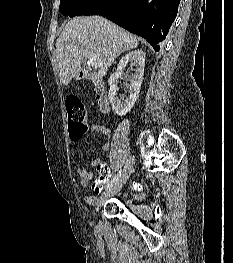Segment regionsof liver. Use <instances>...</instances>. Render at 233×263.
I'll return each mask as SVG.
<instances>
[{
  "label": "liver",
  "instance_id": "1",
  "mask_svg": "<svg viewBox=\"0 0 233 263\" xmlns=\"http://www.w3.org/2000/svg\"><path fill=\"white\" fill-rule=\"evenodd\" d=\"M138 46L137 37L100 16L76 17L64 27L56 41V62L61 82L68 85L81 71V63L88 56L101 62L95 80L107 73L115 59L123 52Z\"/></svg>",
  "mask_w": 233,
  "mask_h": 263
}]
</instances>
